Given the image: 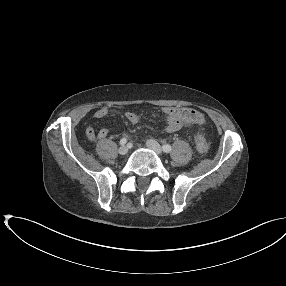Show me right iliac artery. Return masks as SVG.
Segmentation results:
<instances>
[{
	"label": "right iliac artery",
	"mask_w": 286,
	"mask_h": 286,
	"mask_svg": "<svg viewBox=\"0 0 286 286\" xmlns=\"http://www.w3.org/2000/svg\"><path fill=\"white\" fill-rule=\"evenodd\" d=\"M127 143V139L126 138H122L121 140H120V144L121 145H125Z\"/></svg>",
	"instance_id": "obj_1"
}]
</instances>
